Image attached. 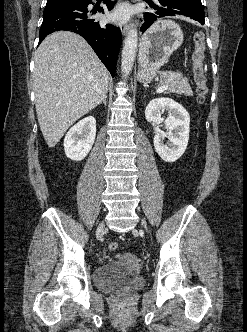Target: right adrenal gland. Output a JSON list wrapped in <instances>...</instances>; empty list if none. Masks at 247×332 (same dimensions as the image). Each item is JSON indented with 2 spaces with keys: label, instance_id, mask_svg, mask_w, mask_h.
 I'll list each match as a JSON object with an SVG mask.
<instances>
[{
  "label": "right adrenal gland",
  "instance_id": "1",
  "mask_svg": "<svg viewBox=\"0 0 247 332\" xmlns=\"http://www.w3.org/2000/svg\"><path fill=\"white\" fill-rule=\"evenodd\" d=\"M106 99H107V95L103 98V100H102V102L101 103H103L105 106H107V101H106ZM100 103V104H101Z\"/></svg>",
  "mask_w": 247,
  "mask_h": 332
}]
</instances>
